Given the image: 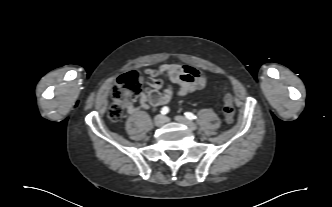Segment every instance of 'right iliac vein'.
I'll return each mask as SVG.
<instances>
[{
	"label": "right iliac vein",
	"mask_w": 332,
	"mask_h": 207,
	"mask_svg": "<svg viewBox=\"0 0 332 207\" xmlns=\"http://www.w3.org/2000/svg\"><path fill=\"white\" fill-rule=\"evenodd\" d=\"M165 121H166V118L161 114L157 115L154 118V124L158 127L162 126L165 123Z\"/></svg>",
	"instance_id": "63e3f726"
}]
</instances>
